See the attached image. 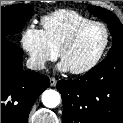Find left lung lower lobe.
Wrapping results in <instances>:
<instances>
[{"mask_svg":"<svg viewBox=\"0 0 123 123\" xmlns=\"http://www.w3.org/2000/svg\"><path fill=\"white\" fill-rule=\"evenodd\" d=\"M63 123H123V52L78 80H60Z\"/></svg>","mask_w":123,"mask_h":123,"instance_id":"1","label":"left lung lower lobe"}]
</instances>
